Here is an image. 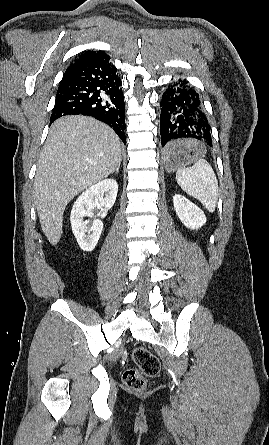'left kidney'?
<instances>
[{
    "label": "left kidney",
    "mask_w": 269,
    "mask_h": 445,
    "mask_svg": "<svg viewBox=\"0 0 269 445\" xmlns=\"http://www.w3.org/2000/svg\"><path fill=\"white\" fill-rule=\"evenodd\" d=\"M173 205L180 221L189 229L201 228L206 223L204 212L180 194L173 196Z\"/></svg>",
    "instance_id": "left-kidney-1"
}]
</instances>
